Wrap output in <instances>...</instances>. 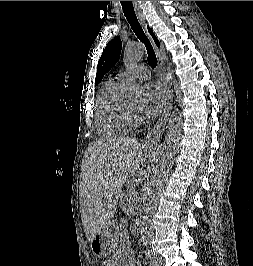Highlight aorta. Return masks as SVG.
Instances as JSON below:
<instances>
[{"mask_svg": "<svg viewBox=\"0 0 253 266\" xmlns=\"http://www.w3.org/2000/svg\"><path fill=\"white\" fill-rule=\"evenodd\" d=\"M143 54L144 49L141 44H129L124 50V62L127 66L132 65L138 62L143 57ZM124 91L128 97H137L140 94V86L135 82L126 81ZM182 127V114L175 108L169 117L166 137L156 159L151 185L147 193V202L142 208V215L140 217L141 239L146 245L152 244L154 240L152 228L153 217L160 194L168 181L173 160L182 136Z\"/></svg>", "mask_w": 253, "mask_h": 266, "instance_id": "aorta-1", "label": "aorta"}]
</instances>
